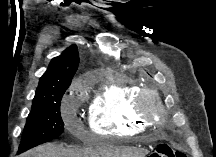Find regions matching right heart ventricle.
Returning <instances> with one entry per match:
<instances>
[{
    "mask_svg": "<svg viewBox=\"0 0 216 157\" xmlns=\"http://www.w3.org/2000/svg\"><path fill=\"white\" fill-rule=\"evenodd\" d=\"M139 94L140 89L124 77L104 82L89 108L92 132L106 136H127L149 127V122L135 110Z\"/></svg>",
    "mask_w": 216,
    "mask_h": 157,
    "instance_id": "right-heart-ventricle-1",
    "label": "right heart ventricle"
}]
</instances>
